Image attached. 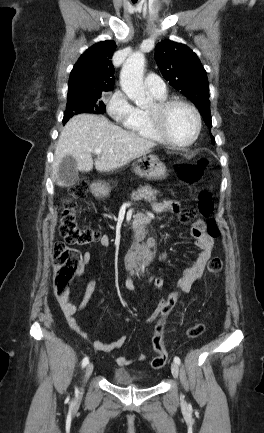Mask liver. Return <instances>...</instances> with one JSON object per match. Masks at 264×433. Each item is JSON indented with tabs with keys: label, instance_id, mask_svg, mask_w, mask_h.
Listing matches in <instances>:
<instances>
[{
	"label": "liver",
	"instance_id": "liver-1",
	"mask_svg": "<svg viewBox=\"0 0 264 433\" xmlns=\"http://www.w3.org/2000/svg\"><path fill=\"white\" fill-rule=\"evenodd\" d=\"M155 146L154 142L112 124L106 117L79 114L67 122L59 136L52 179H58L59 164L68 155L76 160L79 171L89 172L94 164L97 171L107 172L149 153ZM95 148H100L102 152L93 163L92 152ZM57 184L63 185L59 180Z\"/></svg>",
	"mask_w": 264,
	"mask_h": 433
}]
</instances>
